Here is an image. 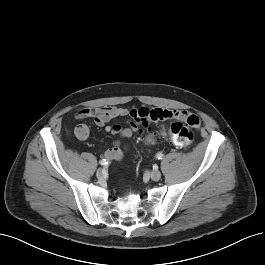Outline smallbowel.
<instances>
[{
  "label": "small bowel",
  "instance_id": "1",
  "mask_svg": "<svg viewBox=\"0 0 265 265\" xmlns=\"http://www.w3.org/2000/svg\"><path fill=\"white\" fill-rule=\"evenodd\" d=\"M148 109L146 108H132L126 107H115L105 106L98 107L95 109L83 108L75 114L76 119L93 118L95 124L99 127H104L105 131L125 139H130L138 132L140 126L147 125L150 121L148 120ZM165 112V118H174L186 123L189 122L190 117H198L186 110H163ZM117 117H130L128 126L123 127L122 125L115 123L109 124V122ZM199 120V119H198ZM200 123L198 122V127ZM89 127L85 124H79L75 128V136L77 139L84 141L89 137ZM127 146H121L119 140H115L112 146L104 151L103 156L109 160H120L124 157Z\"/></svg>",
  "mask_w": 265,
  "mask_h": 265
}]
</instances>
